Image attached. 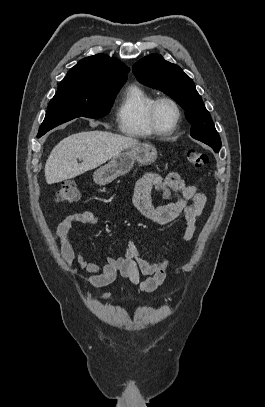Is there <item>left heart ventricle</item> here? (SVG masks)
Segmentation results:
<instances>
[{"mask_svg":"<svg viewBox=\"0 0 265 407\" xmlns=\"http://www.w3.org/2000/svg\"><path fill=\"white\" fill-rule=\"evenodd\" d=\"M176 120V111L169 103H163L158 110V121L162 128L172 127Z\"/></svg>","mask_w":265,"mask_h":407,"instance_id":"1","label":"left heart ventricle"}]
</instances>
